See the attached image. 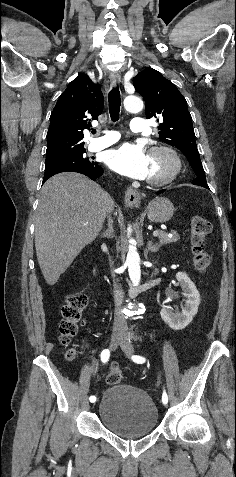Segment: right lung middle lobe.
<instances>
[{
    "instance_id": "right-lung-middle-lobe-1",
    "label": "right lung middle lobe",
    "mask_w": 236,
    "mask_h": 477,
    "mask_svg": "<svg viewBox=\"0 0 236 477\" xmlns=\"http://www.w3.org/2000/svg\"><path fill=\"white\" fill-rule=\"evenodd\" d=\"M85 149L63 159L45 164V174L66 172L72 169H92L98 162L90 160L84 155Z\"/></svg>"
}]
</instances>
